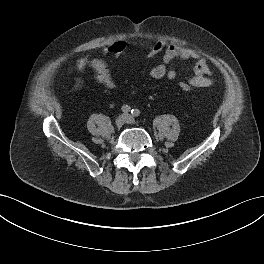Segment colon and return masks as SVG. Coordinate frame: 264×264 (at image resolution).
Listing matches in <instances>:
<instances>
[{
  "instance_id": "1",
  "label": "colon",
  "mask_w": 264,
  "mask_h": 264,
  "mask_svg": "<svg viewBox=\"0 0 264 264\" xmlns=\"http://www.w3.org/2000/svg\"><path fill=\"white\" fill-rule=\"evenodd\" d=\"M127 48V43L124 40H116L110 44L107 45V47L104 50V54L106 56H112V57H119L122 53H124V51ZM164 50V44L162 42H156L153 45H151L148 48L146 57L148 59H153L155 57H158L159 55H161V53ZM179 88L182 91H191L194 86L190 81H180L179 82Z\"/></svg>"
}]
</instances>
